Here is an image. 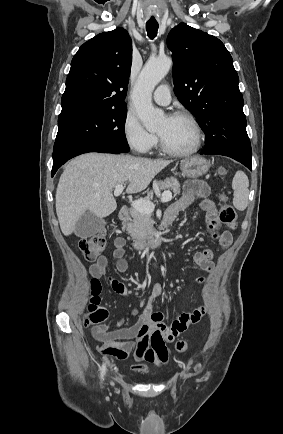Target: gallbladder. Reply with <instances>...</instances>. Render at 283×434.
<instances>
[{
	"mask_svg": "<svg viewBox=\"0 0 283 434\" xmlns=\"http://www.w3.org/2000/svg\"><path fill=\"white\" fill-rule=\"evenodd\" d=\"M106 222L91 212H86L77 221L74 233L80 238L91 237L105 228Z\"/></svg>",
	"mask_w": 283,
	"mask_h": 434,
	"instance_id": "obj_1",
	"label": "gallbladder"
}]
</instances>
